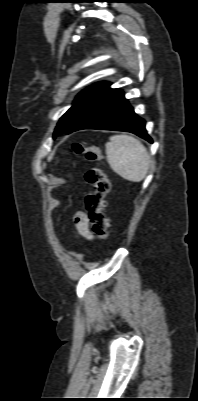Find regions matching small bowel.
Wrapping results in <instances>:
<instances>
[{
    "label": "small bowel",
    "mask_w": 198,
    "mask_h": 401,
    "mask_svg": "<svg viewBox=\"0 0 198 401\" xmlns=\"http://www.w3.org/2000/svg\"><path fill=\"white\" fill-rule=\"evenodd\" d=\"M75 232L78 236L92 239V233L89 228V221L86 212L77 211L74 215Z\"/></svg>",
    "instance_id": "obj_1"
}]
</instances>
